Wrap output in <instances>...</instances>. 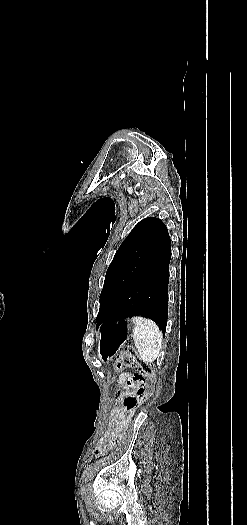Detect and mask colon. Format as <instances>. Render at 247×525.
Listing matches in <instances>:
<instances>
[{
	"label": "colon",
	"instance_id": "5ec220e1",
	"mask_svg": "<svg viewBox=\"0 0 247 525\" xmlns=\"http://www.w3.org/2000/svg\"><path fill=\"white\" fill-rule=\"evenodd\" d=\"M129 366L135 367L138 372L127 381V385L135 388V392L125 395L123 406L128 412H135L148 397V388L154 379V365L143 360L136 349L128 345L118 354L113 369L121 373Z\"/></svg>",
	"mask_w": 247,
	"mask_h": 525
}]
</instances>
